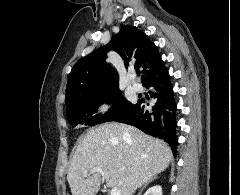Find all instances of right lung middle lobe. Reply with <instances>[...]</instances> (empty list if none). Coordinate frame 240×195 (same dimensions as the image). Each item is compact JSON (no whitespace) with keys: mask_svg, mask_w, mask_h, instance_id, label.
<instances>
[{"mask_svg":"<svg viewBox=\"0 0 240 195\" xmlns=\"http://www.w3.org/2000/svg\"><path fill=\"white\" fill-rule=\"evenodd\" d=\"M101 103H110L113 106L103 115H94ZM135 106L136 104L127 101L121 95V91L99 97H84L66 105L67 119L73 127L77 124L97 125L113 121Z\"/></svg>","mask_w":240,"mask_h":195,"instance_id":"right-lung-middle-lobe-1","label":"right lung middle lobe"}]
</instances>
